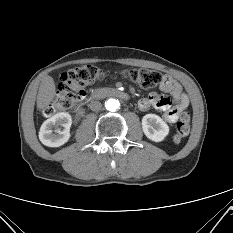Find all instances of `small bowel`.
Here are the masks:
<instances>
[{
	"mask_svg": "<svg viewBox=\"0 0 233 233\" xmlns=\"http://www.w3.org/2000/svg\"><path fill=\"white\" fill-rule=\"evenodd\" d=\"M160 89L170 94V97H163L156 92H152L149 96L141 99L138 106L141 110L146 111L155 108L163 112V119L167 123L177 122L183 114L186 113L189 105L187 95L184 93L181 85L171 76H164Z\"/></svg>",
	"mask_w": 233,
	"mask_h": 233,
	"instance_id": "c3829d8e",
	"label": "small bowel"
}]
</instances>
